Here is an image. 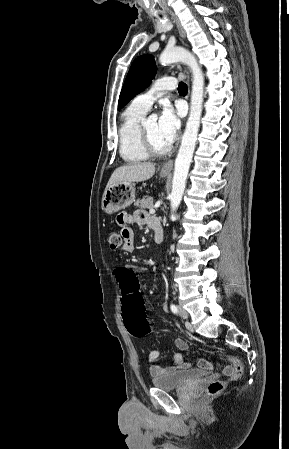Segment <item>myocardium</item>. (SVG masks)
I'll use <instances>...</instances> for the list:
<instances>
[{
    "mask_svg": "<svg viewBox=\"0 0 289 449\" xmlns=\"http://www.w3.org/2000/svg\"><path fill=\"white\" fill-rule=\"evenodd\" d=\"M146 123H147V120H143V122L141 124V128H140V132H141L142 145H143V148H144L145 152L147 153V155L151 156V157H164V156L170 154L173 149L172 145H169L164 150H158L155 148V146L153 145V143L151 141Z\"/></svg>",
    "mask_w": 289,
    "mask_h": 449,
    "instance_id": "myocardium-1",
    "label": "myocardium"
}]
</instances>
